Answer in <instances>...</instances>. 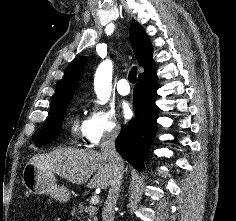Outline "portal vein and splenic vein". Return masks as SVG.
<instances>
[{
  "label": "portal vein and splenic vein",
  "instance_id": "1",
  "mask_svg": "<svg viewBox=\"0 0 236 221\" xmlns=\"http://www.w3.org/2000/svg\"><path fill=\"white\" fill-rule=\"evenodd\" d=\"M99 201H100V197H99V196H97V195H95V196H92V197H91V200H90L91 204H93V205H96V204H98V203H99Z\"/></svg>",
  "mask_w": 236,
  "mask_h": 221
}]
</instances>
